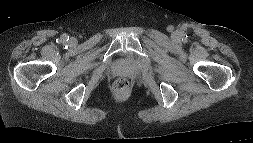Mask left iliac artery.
<instances>
[{"label": "left iliac artery", "instance_id": "44dca946", "mask_svg": "<svg viewBox=\"0 0 253 143\" xmlns=\"http://www.w3.org/2000/svg\"><path fill=\"white\" fill-rule=\"evenodd\" d=\"M186 37H187V35H185V34H184V35H183V38H182V40H183V39L185 40V39H186Z\"/></svg>", "mask_w": 253, "mask_h": 143}]
</instances>
